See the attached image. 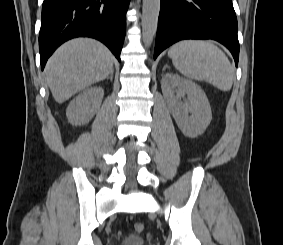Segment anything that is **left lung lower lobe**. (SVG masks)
<instances>
[{
    "instance_id": "0a47b994",
    "label": "left lung lower lobe",
    "mask_w": 283,
    "mask_h": 245,
    "mask_svg": "<svg viewBox=\"0 0 283 245\" xmlns=\"http://www.w3.org/2000/svg\"><path fill=\"white\" fill-rule=\"evenodd\" d=\"M183 39H214L239 59L237 18L232 0H161L154 59Z\"/></svg>"
}]
</instances>
